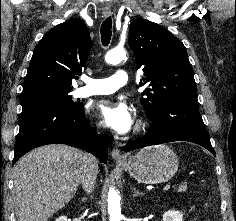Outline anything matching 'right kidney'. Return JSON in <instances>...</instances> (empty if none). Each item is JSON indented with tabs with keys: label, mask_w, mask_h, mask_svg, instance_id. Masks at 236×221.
I'll list each match as a JSON object with an SVG mask.
<instances>
[{
	"label": "right kidney",
	"mask_w": 236,
	"mask_h": 221,
	"mask_svg": "<svg viewBox=\"0 0 236 221\" xmlns=\"http://www.w3.org/2000/svg\"><path fill=\"white\" fill-rule=\"evenodd\" d=\"M56 221H68L66 216H60Z\"/></svg>",
	"instance_id": "1"
}]
</instances>
